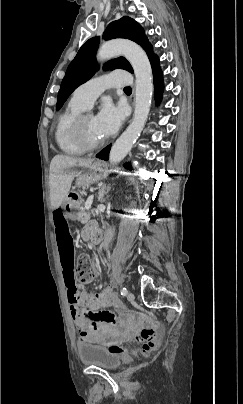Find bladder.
<instances>
[{
    "label": "bladder",
    "mask_w": 243,
    "mask_h": 404,
    "mask_svg": "<svg viewBox=\"0 0 243 404\" xmlns=\"http://www.w3.org/2000/svg\"><path fill=\"white\" fill-rule=\"evenodd\" d=\"M77 353L80 361L86 366L116 370L122 364L117 353L96 344L79 343L77 345Z\"/></svg>",
    "instance_id": "obj_1"
}]
</instances>
